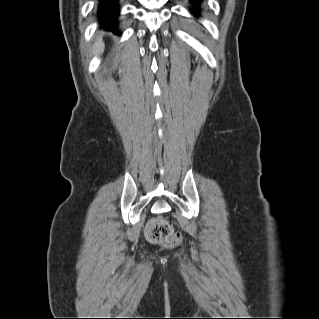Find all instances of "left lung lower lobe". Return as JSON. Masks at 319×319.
<instances>
[{"instance_id":"left-lung-lower-lobe-1","label":"left lung lower lobe","mask_w":319,"mask_h":319,"mask_svg":"<svg viewBox=\"0 0 319 319\" xmlns=\"http://www.w3.org/2000/svg\"><path fill=\"white\" fill-rule=\"evenodd\" d=\"M189 1L191 2V5H192V7L190 8L192 14L195 17H198L204 0H189Z\"/></svg>"}]
</instances>
